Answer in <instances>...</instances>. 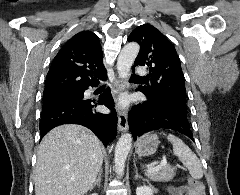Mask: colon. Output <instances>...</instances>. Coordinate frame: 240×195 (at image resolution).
I'll list each match as a JSON object with an SVG mask.
<instances>
[{
    "instance_id": "5ec220e1",
    "label": "colon",
    "mask_w": 240,
    "mask_h": 195,
    "mask_svg": "<svg viewBox=\"0 0 240 195\" xmlns=\"http://www.w3.org/2000/svg\"><path fill=\"white\" fill-rule=\"evenodd\" d=\"M186 182L190 183V188L193 189L194 192H197V195H202V181L201 180H198L197 182H195L194 178L187 176Z\"/></svg>"
}]
</instances>
